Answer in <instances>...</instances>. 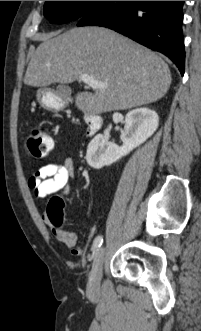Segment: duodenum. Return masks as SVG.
<instances>
[{
    "label": "duodenum",
    "instance_id": "duodenum-1",
    "mask_svg": "<svg viewBox=\"0 0 201 331\" xmlns=\"http://www.w3.org/2000/svg\"><path fill=\"white\" fill-rule=\"evenodd\" d=\"M84 119L87 124L86 135L88 137H92L101 128L102 123H103V118H102V116L97 115V114L86 113L84 115Z\"/></svg>",
    "mask_w": 201,
    "mask_h": 331
}]
</instances>
